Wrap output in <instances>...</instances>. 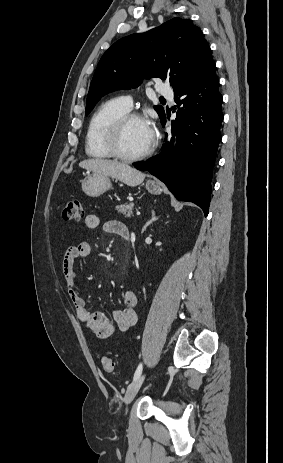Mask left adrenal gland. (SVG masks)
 I'll return each mask as SVG.
<instances>
[{
	"label": "left adrenal gland",
	"mask_w": 283,
	"mask_h": 463,
	"mask_svg": "<svg viewBox=\"0 0 283 463\" xmlns=\"http://www.w3.org/2000/svg\"><path fill=\"white\" fill-rule=\"evenodd\" d=\"M158 218H159V217H156L155 211L152 210V218H151L148 222H146V224H145L144 227H143V231H145L146 228H147L150 224H152L153 222H155L156 220H158Z\"/></svg>",
	"instance_id": "obj_1"
}]
</instances>
